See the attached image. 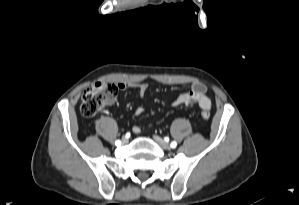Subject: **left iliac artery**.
I'll list each match as a JSON object with an SVG mask.
<instances>
[{"mask_svg":"<svg viewBox=\"0 0 299 205\" xmlns=\"http://www.w3.org/2000/svg\"><path fill=\"white\" fill-rule=\"evenodd\" d=\"M171 148H175L177 146V143L175 141H173L171 144H170Z\"/></svg>","mask_w":299,"mask_h":205,"instance_id":"obj_1","label":"left iliac artery"}]
</instances>
